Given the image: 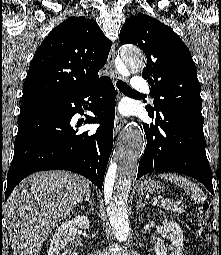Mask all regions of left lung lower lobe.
<instances>
[{
  "instance_id": "left-lung-lower-lobe-1",
  "label": "left lung lower lobe",
  "mask_w": 221,
  "mask_h": 255,
  "mask_svg": "<svg viewBox=\"0 0 221 255\" xmlns=\"http://www.w3.org/2000/svg\"><path fill=\"white\" fill-rule=\"evenodd\" d=\"M150 117L155 118V123H143L147 145L137 179L155 170L178 172L199 180L214 194L203 118L174 107L163 108Z\"/></svg>"
}]
</instances>
